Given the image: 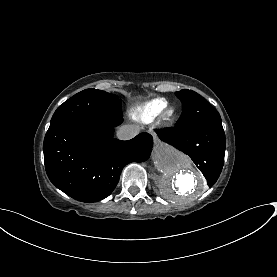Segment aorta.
Wrapping results in <instances>:
<instances>
[{"mask_svg": "<svg viewBox=\"0 0 277 277\" xmlns=\"http://www.w3.org/2000/svg\"><path fill=\"white\" fill-rule=\"evenodd\" d=\"M153 159L156 169L160 172L159 188L167 200L186 204L205 192L206 182L202 173L183 153L158 143Z\"/></svg>", "mask_w": 277, "mask_h": 277, "instance_id": "obj_1", "label": "aorta"}]
</instances>
